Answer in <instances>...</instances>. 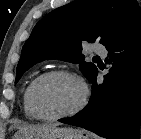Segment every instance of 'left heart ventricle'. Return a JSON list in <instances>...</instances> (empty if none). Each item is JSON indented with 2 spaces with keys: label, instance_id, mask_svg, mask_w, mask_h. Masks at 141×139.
Here are the masks:
<instances>
[{
  "label": "left heart ventricle",
  "instance_id": "b2bd125f",
  "mask_svg": "<svg viewBox=\"0 0 141 139\" xmlns=\"http://www.w3.org/2000/svg\"><path fill=\"white\" fill-rule=\"evenodd\" d=\"M80 97L79 83L64 76L47 78L36 90L38 107L48 115H56L72 109L79 102Z\"/></svg>",
  "mask_w": 141,
  "mask_h": 139
}]
</instances>
